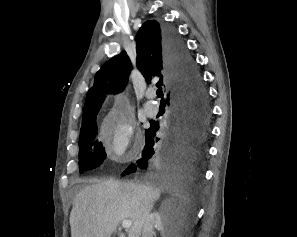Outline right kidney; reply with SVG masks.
Instances as JSON below:
<instances>
[{"mask_svg": "<svg viewBox=\"0 0 297 237\" xmlns=\"http://www.w3.org/2000/svg\"><path fill=\"white\" fill-rule=\"evenodd\" d=\"M154 228L159 229L163 237L168 236L165 230V221L162 220V215L156 211L148 215L143 226L142 237H153Z\"/></svg>", "mask_w": 297, "mask_h": 237, "instance_id": "obj_1", "label": "right kidney"}]
</instances>
